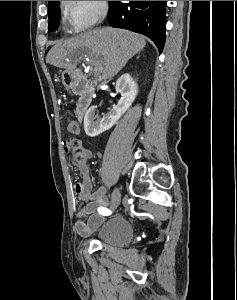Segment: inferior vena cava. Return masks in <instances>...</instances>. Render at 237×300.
Returning a JSON list of instances; mask_svg holds the SVG:
<instances>
[{"label":"inferior vena cava","mask_w":237,"mask_h":300,"mask_svg":"<svg viewBox=\"0 0 237 300\" xmlns=\"http://www.w3.org/2000/svg\"><path fill=\"white\" fill-rule=\"evenodd\" d=\"M107 9H104V13H103V17H105V13H106Z\"/></svg>","instance_id":"inferior-vena-cava-1"}]
</instances>
